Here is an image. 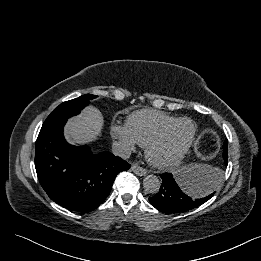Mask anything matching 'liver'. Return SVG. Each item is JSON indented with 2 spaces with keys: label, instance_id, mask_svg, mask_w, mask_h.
Here are the masks:
<instances>
[{
  "label": "liver",
  "instance_id": "obj_1",
  "mask_svg": "<svg viewBox=\"0 0 261 261\" xmlns=\"http://www.w3.org/2000/svg\"><path fill=\"white\" fill-rule=\"evenodd\" d=\"M104 124L101 112L93 107H86L82 113L70 118L64 132L69 143L83 145L95 141L100 136Z\"/></svg>",
  "mask_w": 261,
  "mask_h": 261
}]
</instances>
